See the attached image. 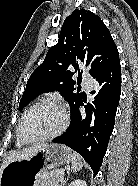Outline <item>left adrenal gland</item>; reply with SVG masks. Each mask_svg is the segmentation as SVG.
<instances>
[{
  "mask_svg": "<svg viewBox=\"0 0 138 186\" xmlns=\"http://www.w3.org/2000/svg\"><path fill=\"white\" fill-rule=\"evenodd\" d=\"M67 179H68V178H66V179L63 181V185L66 183Z\"/></svg>",
  "mask_w": 138,
  "mask_h": 186,
  "instance_id": "obj_1",
  "label": "left adrenal gland"
}]
</instances>
